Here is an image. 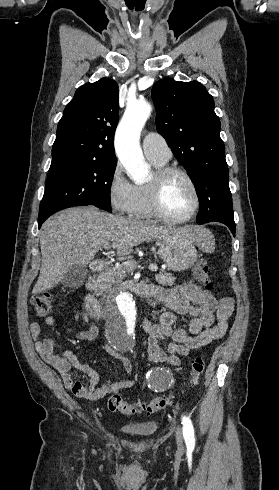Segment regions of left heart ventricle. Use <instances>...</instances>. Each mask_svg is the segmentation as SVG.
Instances as JSON below:
<instances>
[{"label": "left heart ventricle", "mask_w": 279, "mask_h": 490, "mask_svg": "<svg viewBox=\"0 0 279 490\" xmlns=\"http://www.w3.org/2000/svg\"><path fill=\"white\" fill-rule=\"evenodd\" d=\"M162 203L170 216L185 217L194 205V192L191 185L180 175L170 176L164 187Z\"/></svg>", "instance_id": "1"}]
</instances>
